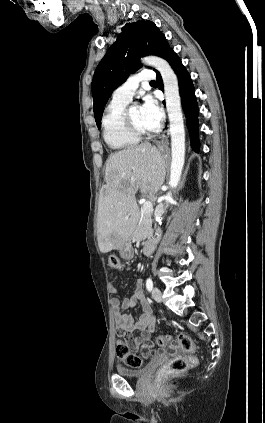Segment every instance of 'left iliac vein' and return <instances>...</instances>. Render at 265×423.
Instances as JSON below:
<instances>
[{
  "instance_id": "4c4485c4",
  "label": "left iliac vein",
  "mask_w": 265,
  "mask_h": 423,
  "mask_svg": "<svg viewBox=\"0 0 265 423\" xmlns=\"http://www.w3.org/2000/svg\"><path fill=\"white\" fill-rule=\"evenodd\" d=\"M152 297L156 302L160 303L162 301V293L160 289L154 287L152 290Z\"/></svg>"
}]
</instances>
